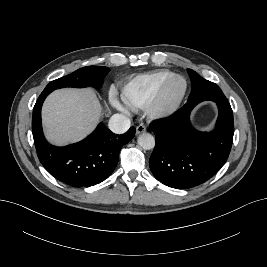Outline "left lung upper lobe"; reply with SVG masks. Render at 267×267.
<instances>
[{
    "instance_id": "left-lung-upper-lobe-1",
    "label": "left lung upper lobe",
    "mask_w": 267,
    "mask_h": 267,
    "mask_svg": "<svg viewBox=\"0 0 267 267\" xmlns=\"http://www.w3.org/2000/svg\"><path fill=\"white\" fill-rule=\"evenodd\" d=\"M187 71L192 82V89L189 98L193 97L195 94L207 92L211 89L214 90L215 95H217L218 97H224V94L222 93L218 85L202 78L199 74L191 69H188Z\"/></svg>"
}]
</instances>
